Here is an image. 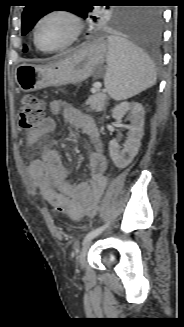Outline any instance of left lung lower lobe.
<instances>
[{
	"instance_id": "obj_1",
	"label": "left lung lower lobe",
	"mask_w": 184,
	"mask_h": 327,
	"mask_svg": "<svg viewBox=\"0 0 184 327\" xmlns=\"http://www.w3.org/2000/svg\"><path fill=\"white\" fill-rule=\"evenodd\" d=\"M139 20L132 25V41L142 51L158 55L162 37V15L156 8L141 10Z\"/></svg>"
}]
</instances>
